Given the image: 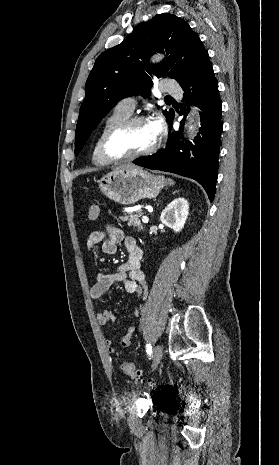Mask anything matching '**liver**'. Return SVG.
I'll return each mask as SVG.
<instances>
[{
    "mask_svg": "<svg viewBox=\"0 0 279 465\" xmlns=\"http://www.w3.org/2000/svg\"><path fill=\"white\" fill-rule=\"evenodd\" d=\"M134 167H135V166H133V165H125V166H123L122 168H134Z\"/></svg>",
    "mask_w": 279,
    "mask_h": 465,
    "instance_id": "obj_1",
    "label": "liver"
}]
</instances>
